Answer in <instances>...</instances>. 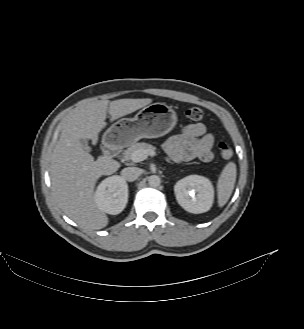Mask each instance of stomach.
Returning a JSON list of instances; mask_svg holds the SVG:
<instances>
[{
	"label": "stomach",
	"instance_id": "1",
	"mask_svg": "<svg viewBox=\"0 0 304 329\" xmlns=\"http://www.w3.org/2000/svg\"><path fill=\"white\" fill-rule=\"evenodd\" d=\"M177 123L176 112L165 103L143 107L134 118H122L104 133L102 143L108 148L129 146L142 138H158Z\"/></svg>",
	"mask_w": 304,
	"mask_h": 329
}]
</instances>
